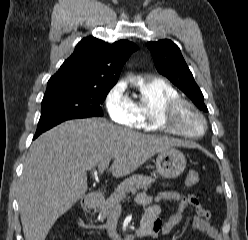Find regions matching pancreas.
Returning <instances> with one entry per match:
<instances>
[{"label":"pancreas","instance_id":"cf45deb5","mask_svg":"<svg viewBox=\"0 0 248 240\" xmlns=\"http://www.w3.org/2000/svg\"><path fill=\"white\" fill-rule=\"evenodd\" d=\"M155 179L144 175H132L124 182L120 183L114 190L111 196L105 201L101 208V220L111 215V213L119 207L120 203L126 197V194L131 192L135 194L137 190L146 191Z\"/></svg>","mask_w":248,"mask_h":240}]
</instances>
